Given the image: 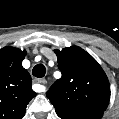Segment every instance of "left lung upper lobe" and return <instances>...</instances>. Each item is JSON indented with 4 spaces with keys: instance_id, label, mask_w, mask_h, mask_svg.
Wrapping results in <instances>:
<instances>
[{
    "instance_id": "1",
    "label": "left lung upper lobe",
    "mask_w": 119,
    "mask_h": 119,
    "mask_svg": "<svg viewBox=\"0 0 119 119\" xmlns=\"http://www.w3.org/2000/svg\"><path fill=\"white\" fill-rule=\"evenodd\" d=\"M62 77L46 96L61 119H101L110 100L108 78L85 50L71 46L54 50Z\"/></svg>"
}]
</instances>
